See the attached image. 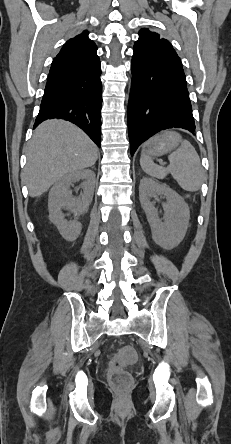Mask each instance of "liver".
Wrapping results in <instances>:
<instances>
[{
	"label": "liver",
	"instance_id": "obj_1",
	"mask_svg": "<svg viewBox=\"0 0 231 444\" xmlns=\"http://www.w3.org/2000/svg\"><path fill=\"white\" fill-rule=\"evenodd\" d=\"M23 181L31 197H39L65 175L91 167L98 148L77 126L47 120L34 131L27 147Z\"/></svg>",
	"mask_w": 231,
	"mask_h": 444
}]
</instances>
